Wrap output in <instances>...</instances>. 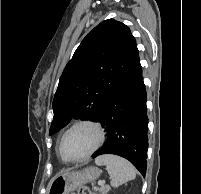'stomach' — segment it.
Here are the masks:
<instances>
[{
	"label": "stomach",
	"instance_id": "obj_1",
	"mask_svg": "<svg viewBox=\"0 0 201 194\" xmlns=\"http://www.w3.org/2000/svg\"><path fill=\"white\" fill-rule=\"evenodd\" d=\"M99 175L100 170L96 167H89L81 172H68L58 175L51 181L48 194H69L82 185L94 181Z\"/></svg>",
	"mask_w": 201,
	"mask_h": 194
}]
</instances>
